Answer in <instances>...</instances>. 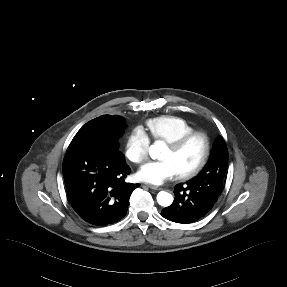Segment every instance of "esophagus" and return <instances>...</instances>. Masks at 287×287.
I'll use <instances>...</instances> for the list:
<instances>
[{"label":"esophagus","mask_w":287,"mask_h":287,"mask_svg":"<svg viewBox=\"0 0 287 287\" xmlns=\"http://www.w3.org/2000/svg\"><path fill=\"white\" fill-rule=\"evenodd\" d=\"M147 187H149L152 190H161V187H158V186H155V185H152V184H148Z\"/></svg>","instance_id":"34e87169"}]
</instances>
